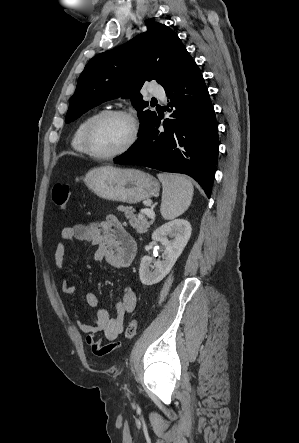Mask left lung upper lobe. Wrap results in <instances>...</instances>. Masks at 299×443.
Masks as SVG:
<instances>
[{"label":"left lung upper lobe","instance_id":"5c2ea615","mask_svg":"<svg viewBox=\"0 0 299 443\" xmlns=\"http://www.w3.org/2000/svg\"><path fill=\"white\" fill-rule=\"evenodd\" d=\"M193 64L176 33L164 24H150L146 33L88 62L70 99L65 121L70 123L105 101L131 98L141 123L139 136L156 113L145 110L148 102L138 90L151 80L166 88Z\"/></svg>","mask_w":299,"mask_h":443}]
</instances>
